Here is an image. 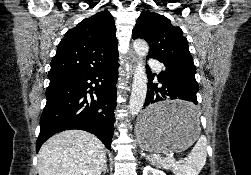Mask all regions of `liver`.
<instances>
[{
    "label": "liver",
    "mask_w": 251,
    "mask_h": 175,
    "mask_svg": "<svg viewBox=\"0 0 251 175\" xmlns=\"http://www.w3.org/2000/svg\"><path fill=\"white\" fill-rule=\"evenodd\" d=\"M106 161L104 145L98 137L69 129L49 137L38 153L39 175H100Z\"/></svg>",
    "instance_id": "1"
}]
</instances>
